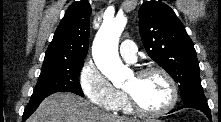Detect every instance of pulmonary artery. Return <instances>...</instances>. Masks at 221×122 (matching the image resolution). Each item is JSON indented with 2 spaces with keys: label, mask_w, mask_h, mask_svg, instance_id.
<instances>
[{
  "label": "pulmonary artery",
  "mask_w": 221,
  "mask_h": 122,
  "mask_svg": "<svg viewBox=\"0 0 221 122\" xmlns=\"http://www.w3.org/2000/svg\"><path fill=\"white\" fill-rule=\"evenodd\" d=\"M119 52L120 55L124 60L127 62L133 63L136 61V53H137V48L135 43L132 40H124L119 47Z\"/></svg>",
  "instance_id": "obj_1"
}]
</instances>
